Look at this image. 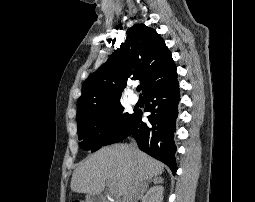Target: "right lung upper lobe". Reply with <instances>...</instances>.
I'll use <instances>...</instances> for the list:
<instances>
[{
    "label": "right lung upper lobe",
    "instance_id": "obj_1",
    "mask_svg": "<svg viewBox=\"0 0 255 202\" xmlns=\"http://www.w3.org/2000/svg\"><path fill=\"white\" fill-rule=\"evenodd\" d=\"M126 34L127 41L120 49L84 82L77 118L120 103L128 79H139L145 94L177 78L172 55L154 29L136 24Z\"/></svg>",
    "mask_w": 255,
    "mask_h": 202
}]
</instances>
